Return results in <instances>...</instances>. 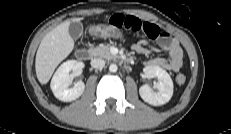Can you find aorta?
Masks as SVG:
<instances>
[{"label": "aorta", "instance_id": "762f6f07", "mask_svg": "<svg viewBox=\"0 0 231 134\" xmlns=\"http://www.w3.org/2000/svg\"><path fill=\"white\" fill-rule=\"evenodd\" d=\"M117 70H118V67H117L116 64H111V65L109 66V71H110V72L115 73V72H117Z\"/></svg>", "mask_w": 231, "mask_h": 134}]
</instances>
